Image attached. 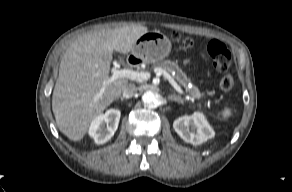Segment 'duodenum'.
Instances as JSON below:
<instances>
[{
	"mask_svg": "<svg viewBox=\"0 0 292 192\" xmlns=\"http://www.w3.org/2000/svg\"><path fill=\"white\" fill-rule=\"evenodd\" d=\"M127 61H128V63L131 64V65H136V64L139 63V59H138V57L133 56V55L128 56Z\"/></svg>",
	"mask_w": 292,
	"mask_h": 192,
	"instance_id": "duodenum-1",
	"label": "duodenum"
}]
</instances>
